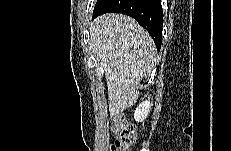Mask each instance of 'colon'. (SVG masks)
I'll return each instance as SVG.
<instances>
[{
  "label": "colon",
  "instance_id": "obj_1",
  "mask_svg": "<svg viewBox=\"0 0 231 151\" xmlns=\"http://www.w3.org/2000/svg\"><path fill=\"white\" fill-rule=\"evenodd\" d=\"M112 129L115 141L111 145V151H128L136 142L135 128L122 114L114 116Z\"/></svg>",
  "mask_w": 231,
  "mask_h": 151
}]
</instances>
